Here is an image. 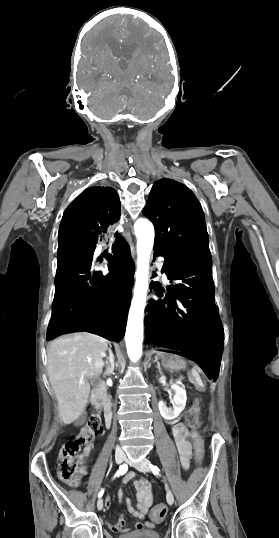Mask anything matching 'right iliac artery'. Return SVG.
Wrapping results in <instances>:
<instances>
[{
  "mask_svg": "<svg viewBox=\"0 0 279 538\" xmlns=\"http://www.w3.org/2000/svg\"><path fill=\"white\" fill-rule=\"evenodd\" d=\"M128 470V466L126 464H123L119 467V470L116 472L115 474V477L116 476H120V475H123L127 472ZM103 493H104V490L102 489L99 493H98V497H102L103 496Z\"/></svg>",
  "mask_w": 279,
  "mask_h": 538,
  "instance_id": "right-iliac-artery-1",
  "label": "right iliac artery"
}]
</instances>
